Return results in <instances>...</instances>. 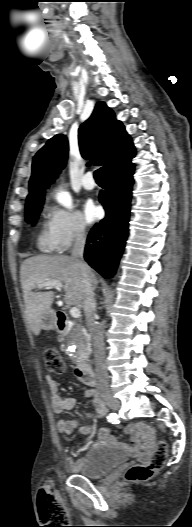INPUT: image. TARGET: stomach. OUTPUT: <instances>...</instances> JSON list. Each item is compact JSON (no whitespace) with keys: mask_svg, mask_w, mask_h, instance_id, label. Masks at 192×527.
Masks as SVG:
<instances>
[{"mask_svg":"<svg viewBox=\"0 0 192 527\" xmlns=\"http://www.w3.org/2000/svg\"><path fill=\"white\" fill-rule=\"evenodd\" d=\"M57 328L56 314L53 310H48L41 319V329L55 330Z\"/></svg>","mask_w":192,"mask_h":527,"instance_id":"0dacf381","label":"stomach"}]
</instances>
